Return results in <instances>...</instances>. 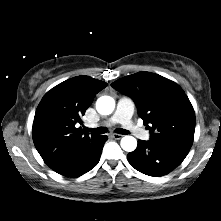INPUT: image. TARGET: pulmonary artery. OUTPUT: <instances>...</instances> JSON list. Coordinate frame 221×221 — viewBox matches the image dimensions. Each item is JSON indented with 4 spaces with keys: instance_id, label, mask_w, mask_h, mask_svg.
Returning <instances> with one entry per match:
<instances>
[{
    "instance_id": "pulmonary-artery-1",
    "label": "pulmonary artery",
    "mask_w": 221,
    "mask_h": 221,
    "mask_svg": "<svg viewBox=\"0 0 221 221\" xmlns=\"http://www.w3.org/2000/svg\"><path fill=\"white\" fill-rule=\"evenodd\" d=\"M133 107V103L130 99L125 97L121 98L118 101L115 113L105 121L104 125L111 126L114 124H121L137 138L147 140L149 139V133L135 124L131 119Z\"/></svg>"
}]
</instances>
